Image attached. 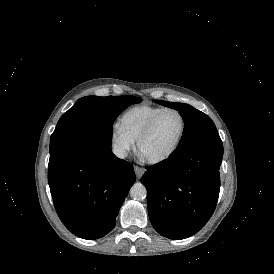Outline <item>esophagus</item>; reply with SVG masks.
<instances>
[{"instance_id": "esophagus-1", "label": "esophagus", "mask_w": 274, "mask_h": 274, "mask_svg": "<svg viewBox=\"0 0 274 274\" xmlns=\"http://www.w3.org/2000/svg\"><path fill=\"white\" fill-rule=\"evenodd\" d=\"M134 170H135V174H136V176H137L138 179H140L141 176H142V175L144 174V172H145V169H144V168L139 167V166H137V165L134 166Z\"/></svg>"}]
</instances>
